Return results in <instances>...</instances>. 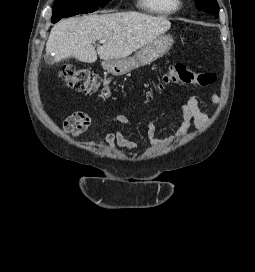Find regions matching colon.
<instances>
[{"instance_id": "obj_1", "label": "colon", "mask_w": 255, "mask_h": 272, "mask_svg": "<svg viewBox=\"0 0 255 272\" xmlns=\"http://www.w3.org/2000/svg\"><path fill=\"white\" fill-rule=\"evenodd\" d=\"M65 86L81 93L107 94L106 79L99 74L85 68H65L60 73ZM215 74L199 72L190 69L185 64L175 63L168 66L162 76L157 89L162 90L172 84L206 86L215 81Z\"/></svg>"}]
</instances>
